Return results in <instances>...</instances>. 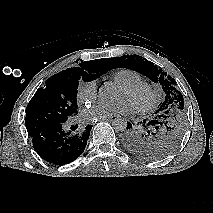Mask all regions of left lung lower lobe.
Wrapping results in <instances>:
<instances>
[{"label":"left lung lower lobe","mask_w":213,"mask_h":213,"mask_svg":"<svg viewBox=\"0 0 213 213\" xmlns=\"http://www.w3.org/2000/svg\"><path fill=\"white\" fill-rule=\"evenodd\" d=\"M140 128H133L132 124L128 122V126L126 128L127 131H125V132L123 131L124 133L122 136L123 143L128 149H129V147L134 145L136 133ZM120 133H122V132H120Z\"/></svg>","instance_id":"left-lung-lower-lobe-1"}]
</instances>
